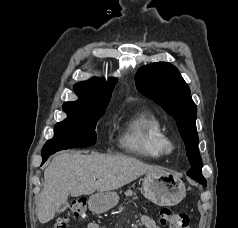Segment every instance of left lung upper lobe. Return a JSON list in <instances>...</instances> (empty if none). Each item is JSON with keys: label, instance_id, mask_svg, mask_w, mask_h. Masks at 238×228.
I'll return each instance as SVG.
<instances>
[{"label": "left lung upper lobe", "instance_id": "left-lung-upper-lobe-1", "mask_svg": "<svg viewBox=\"0 0 238 228\" xmlns=\"http://www.w3.org/2000/svg\"><path fill=\"white\" fill-rule=\"evenodd\" d=\"M135 82L143 95L161 105L176 120L191 164L187 174L203 176L195 124L197 108L177 68L165 62L152 63L140 68Z\"/></svg>", "mask_w": 238, "mask_h": 228}]
</instances>
